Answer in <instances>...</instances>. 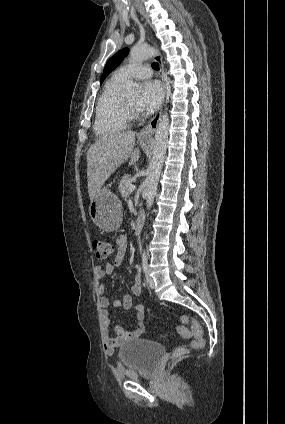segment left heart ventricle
<instances>
[{"label": "left heart ventricle", "mask_w": 285, "mask_h": 424, "mask_svg": "<svg viewBox=\"0 0 285 424\" xmlns=\"http://www.w3.org/2000/svg\"><path fill=\"white\" fill-rule=\"evenodd\" d=\"M126 101L135 107L137 105L138 99L137 97H129V98H126Z\"/></svg>", "instance_id": "1"}]
</instances>
